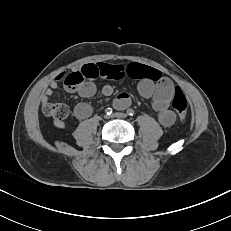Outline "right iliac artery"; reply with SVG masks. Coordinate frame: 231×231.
<instances>
[{
    "label": "right iliac artery",
    "instance_id": "obj_1",
    "mask_svg": "<svg viewBox=\"0 0 231 231\" xmlns=\"http://www.w3.org/2000/svg\"><path fill=\"white\" fill-rule=\"evenodd\" d=\"M105 113H106L107 115H111V113H112V108H107V109L105 110Z\"/></svg>",
    "mask_w": 231,
    "mask_h": 231
}]
</instances>
